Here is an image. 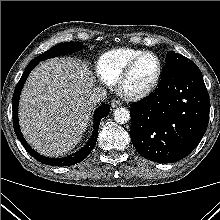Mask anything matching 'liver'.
I'll return each mask as SVG.
<instances>
[{
    "instance_id": "1",
    "label": "liver",
    "mask_w": 220,
    "mask_h": 220,
    "mask_svg": "<svg viewBox=\"0 0 220 220\" xmlns=\"http://www.w3.org/2000/svg\"><path fill=\"white\" fill-rule=\"evenodd\" d=\"M94 77L88 66L71 58H52L29 75L19 102V123L31 147L57 157L72 150L87 128Z\"/></svg>"
}]
</instances>
